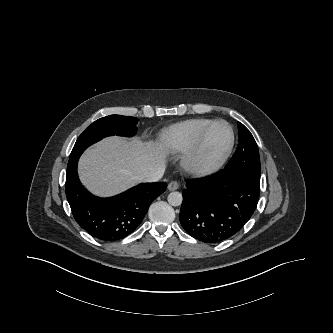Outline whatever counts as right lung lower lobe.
<instances>
[{"mask_svg": "<svg viewBox=\"0 0 333 333\" xmlns=\"http://www.w3.org/2000/svg\"><path fill=\"white\" fill-rule=\"evenodd\" d=\"M77 163L67 167L65 192L76 222L102 241H117L133 233L165 182L142 183L110 198H99L80 183Z\"/></svg>", "mask_w": 333, "mask_h": 333, "instance_id": "right-lung-lower-lobe-1", "label": "right lung lower lobe"}]
</instances>
